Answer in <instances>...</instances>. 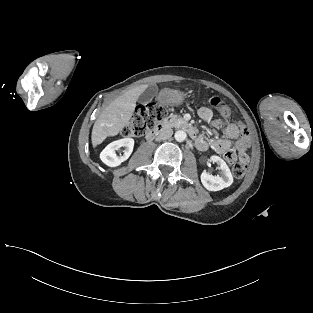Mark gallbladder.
I'll list each match as a JSON object with an SVG mask.
<instances>
[{
    "label": "gallbladder",
    "instance_id": "1",
    "mask_svg": "<svg viewBox=\"0 0 313 313\" xmlns=\"http://www.w3.org/2000/svg\"><path fill=\"white\" fill-rule=\"evenodd\" d=\"M156 92H157V87L156 86H149L146 89V91H145V93H144V95L142 97L143 101L144 102L149 101L156 94Z\"/></svg>",
    "mask_w": 313,
    "mask_h": 313
}]
</instances>
